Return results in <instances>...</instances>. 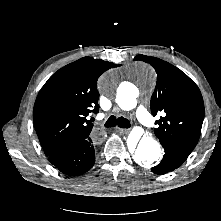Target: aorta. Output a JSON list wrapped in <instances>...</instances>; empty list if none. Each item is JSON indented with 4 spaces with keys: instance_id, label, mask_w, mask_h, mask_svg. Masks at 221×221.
Listing matches in <instances>:
<instances>
[{
    "instance_id": "762f6f07",
    "label": "aorta",
    "mask_w": 221,
    "mask_h": 221,
    "mask_svg": "<svg viewBox=\"0 0 221 221\" xmlns=\"http://www.w3.org/2000/svg\"><path fill=\"white\" fill-rule=\"evenodd\" d=\"M135 70L148 80H154V71L151 66L146 63H137ZM102 90L109 94L114 88L115 80L112 76H104L101 79ZM138 94L136 89L128 88L117 91V103L123 110H130L137 104L136 98ZM161 157V147L159 143L152 137L143 136L133 154L134 161L141 166H150L157 162Z\"/></svg>"
}]
</instances>
